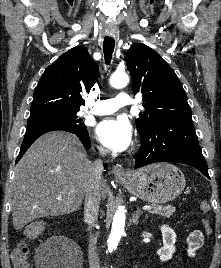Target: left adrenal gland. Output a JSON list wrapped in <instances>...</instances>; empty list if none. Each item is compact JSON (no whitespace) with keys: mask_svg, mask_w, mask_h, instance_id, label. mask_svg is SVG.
<instances>
[{"mask_svg":"<svg viewBox=\"0 0 221 268\" xmlns=\"http://www.w3.org/2000/svg\"><path fill=\"white\" fill-rule=\"evenodd\" d=\"M141 214H142V211L139 209V207H137L136 212L132 215V222L135 225H138V223H139V217H140Z\"/></svg>","mask_w":221,"mask_h":268,"instance_id":"obj_1","label":"left adrenal gland"}]
</instances>
